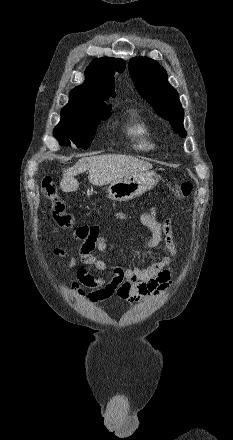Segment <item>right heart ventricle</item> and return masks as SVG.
Listing matches in <instances>:
<instances>
[{"mask_svg":"<svg viewBox=\"0 0 233 440\" xmlns=\"http://www.w3.org/2000/svg\"><path fill=\"white\" fill-rule=\"evenodd\" d=\"M124 131L133 141L137 151L149 152L155 149V141L151 126L139 116H133L125 125Z\"/></svg>","mask_w":233,"mask_h":440,"instance_id":"1","label":"right heart ventricle"}]
</instances>
